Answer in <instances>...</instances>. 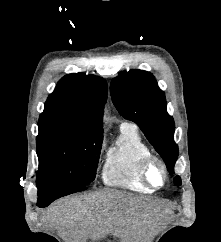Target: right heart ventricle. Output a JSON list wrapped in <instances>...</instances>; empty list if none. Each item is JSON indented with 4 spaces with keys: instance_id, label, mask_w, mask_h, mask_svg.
Here are the masks:
<instances>
[{
    "instance_id": "right-heart-ventricle-1",
    "label": "right heart ventricle",
    "mask_w": 221,
    "mask_h": 242,
    "mask_svg": "<svg viewBox=\"0 0 221 242\" xmlns=\"http://www.w3.org/2000/svg\"><path fill=\"white\" fill-rule=\"evenodd\" d=\"M151 154V149L133 125L121 126L116 145L107 153L103 166L104 183L138 193L152 192L140 175L141 162Z\"/></svg>"
}]
</instances>
